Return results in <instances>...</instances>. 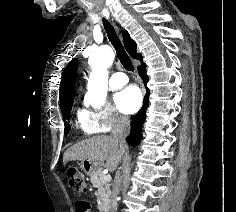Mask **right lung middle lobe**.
Instances as JSON below:
<instances>
[{
	"mask_svg": "<svg viewBox=\"0 0 236 212\" xmlns=\"http://www.w3.org/2000/svg\"><path fill=\"white\" fill-rule=\"evenodd\" d=\"M73 99L74 98L66 100L61 104V110H62L64 119L69 120V115L72 108ZM64 123H65V135H67L68 131L70 130V125L66 121H64Z\"/></svg>",
	"mask_w": 236,
	"mask_h": 212,
	"instance_id": "right-lung-middle-lobe-1",
	"label": "right lung middle lobe"
}]
</instances>
